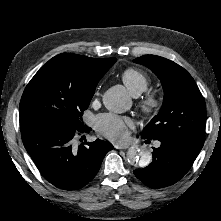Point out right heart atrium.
<instances>
[{
    "label": "right heart atrium",
    "instance_id": "d8ad5b80",
    "mask_svg": "<svg viewBox=\"0 0 221 221\" xmlns=\"http://www.w3.org/2000/svg\"><path fill=\"white\" fill-rule=\"evenodd\" d=\"M95 94H96V95H98V94H99L98 90L95 92Z\"/></svg>",
    "mask_w": 221,
    "mask_h": 221
}]
</instances>
